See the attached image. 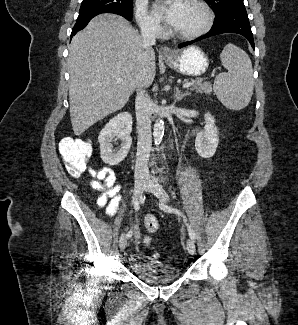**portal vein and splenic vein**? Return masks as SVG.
<instances>
[{"instance_id": "1", "label": "portal vein and splenic vein", "mask_w": 298, "mask_h": 325, "mask_svg": "<svg viewBox=\"0 0 298 325\" xmlns=\"http://www.w3.org/2000/svg\"><path fill=\"white\" fill-rule=\"evenodd\" d=\"M205 78H201V80H192V82H185L182 84V88H188V86H192V84H196V82H202ZM117 82H123V78H117Z\"/></svg>"}]
</instances>
